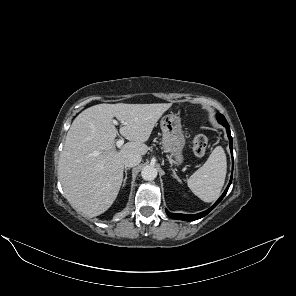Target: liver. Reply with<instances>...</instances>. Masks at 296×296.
<instances>
[{"mask_svg":"<svg viewBox=\"0 0 296 296\" xmlns=\"http://www.w3.org/2000/svg\"><path fill=\"white\" fill-rule=\"evenodd\" d=\"M171 106L104 103L85 109L74 119L60 154L58 178L76 211L95 217L111 207L123 181L124 160L130 154L147 153L145 142ZM114 117L124 125L120 134L129 140L119 150Z\"/></svg>","mask_w":296,"mask_h":296,"instance_id":"6515ba94","label":"liver"}]
</instances>
